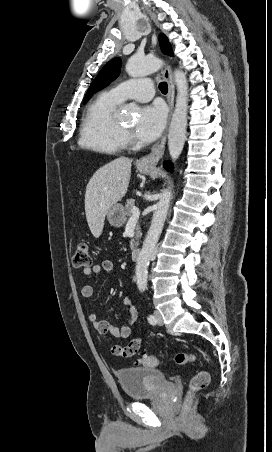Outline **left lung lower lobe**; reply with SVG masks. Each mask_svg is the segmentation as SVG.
Listing matches in <instances>:
<instances>
[{
    "label": "left lung lower lobe",
    "mask_w": 272,
    "mask_h": 452,
    "mask_svg": "<svg viewBox=\"0 0 272 452\" xmlns=\"http://www.w3.org/2000/svg\"><path fill=\"white\" fill-rule=\"evenodd\" d=\"M164 167L168 170V171H172V165L169 164L168 162L164 163Z\"/></svg>",
    "instance_id": "left-lung-lower-lobe-1"
}]
</instances>
